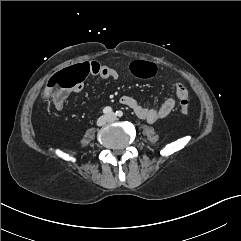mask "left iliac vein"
Returning a JSON list of instances; mask_svg holds the SVG:
<instances>
[{
  "mask_svg": "<svg viewBox=\"0 0 241 241\" xmlns=\"http://www.w3.org/2000/svg\"><path fill=\"white\" fill-rule=\"evenodd\" d=\"M108 118H109V121H113V120L116 119V116H115L114 113H110V114L108 115Z\"/></svg>",
  "mask_w": 241,
  "mask_h": 241,
  "instance_id": "left-iliac-vein-1",
  "label": "left iliac vein"
}]
</instances>
